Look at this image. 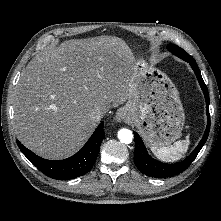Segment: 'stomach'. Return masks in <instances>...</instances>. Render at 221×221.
<instances>
[{"label": "stomach", "mask_w": 221, "mask_h": 221, "mask_svg": "<svg viewBox=\"0 0 221 221\" xmlns=\"http://www.w3.org/2000/svg\"><path fill=\"white\" fill-rule=\"evenodd\" d=\"M131 92L122 111L149 146H169L179 138L185 114L179 92L161 70L135 62Z\"/></svg>", "instance_id": "stomach-1"}]
</instances>
